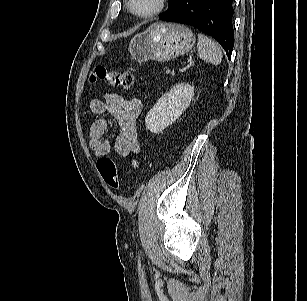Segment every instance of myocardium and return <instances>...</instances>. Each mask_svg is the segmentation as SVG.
<instances>
[{
	"mask_svg": "<svg viewBox=\"0 0 307 301\" xmlns=\"http://www.w3.org/2000/svg\"><path fill=\"white\" fill-rule=\"evenodd\" d=\"M167 2H168V0H158L157 6L152 11H150L148 13H139V12L135 11L134 8H133V0H128L127 6H128L129 11L131 12V14H133L134 16L141 18V19H148V18H151V17H154V16L160 14L165 9V7L167 6Z\"/></svg>",
	"mask_w": 307,
	"mask_h": 301,
	"instance_id": "obj_1",
	"label": "myocardium"
}]
</instances>
